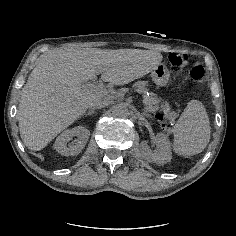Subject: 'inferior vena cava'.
I'll list each match as a JSON object with an SVG mask.
<instances>
[{
    "mask_svg": "<svg viewBox=\"0 0 236 236\" xmlns=\"http://www.w3.org/2000/svg\"><path fill=\"white\" fill-rule=\"evenodd\" d=\"M108 104L109 102L107 100H101V101L96 102L95 104H92V106H93V109L94 108L101 109L107 106Z\"/></svg>",
    "mask_w": 236,
    "mask_h": 236,
    "instance_id": "602c4592",
    "label": "inferior vena cava"
}]
</instances>
